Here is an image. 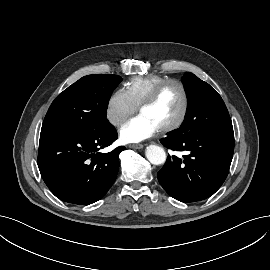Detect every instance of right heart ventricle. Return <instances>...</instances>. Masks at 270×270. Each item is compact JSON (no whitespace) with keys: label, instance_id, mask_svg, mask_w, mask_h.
Here are the masks:
<instances>
[{"label":"right heart ventricle","instance_id":"e07e8e85","mask_svg":"<svg viewBox=\"0 0 270 270\" xmlns=\"http://www.w3.org/2000/svg\"><path fill=\"white\" fill-rule=\"evenodd\" d=\"M168 79L160 75L136 76L125 83V92L133 104L139 107L155 86Z\"/></svg>","mask_w":270,"mask_h":270}]
</instances>
